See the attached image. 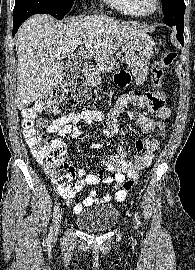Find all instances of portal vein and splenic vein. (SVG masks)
I'll use <instances>...</instances> for the list:
<instances>
[{"instance_id": "18ae733b", "label": "portal vein and splenic vein", "mask_w": 195, "mask_h": 270, "mask_svg": "<svg viewBox=\"0 0 195 270\" xmlns=\"http://www.w3.org/2000/svg\"><path fill=\"white\" fill-rule=\"evenodd\" d=\"M82 44V41L81 40H78L77 41V45H81ZM83 54H85V52H83Z\"/></svg>"}]
</instances>
